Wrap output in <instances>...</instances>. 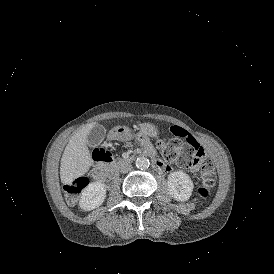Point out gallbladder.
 <instances>
[{"mask_svg": "<svg viewBox=\"0 0 274 274\" xmlns=\"http://www.w3.org/2000/svg\"><path fill=\"white\" fill-rule=\"evenodd\" d=\"M106 129L102 125H96L93 127L88 136H87V144L90 147L98 146L105 138Z\"/></svg>", "mask_w": 274, "mask_h": 274, "instance_id": "bac80fb5", "label": "gallbladder"}]
</instances>
